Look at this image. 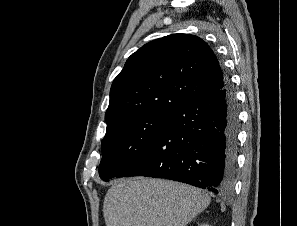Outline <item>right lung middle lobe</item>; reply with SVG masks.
I'll return each mask as SVG.
<instances>
[{"mask_svg": "<svg viewBox=\"0 0 297 226\" xmlns=\"http://www.w3.org/2000/svg\"><path fill=\"white\" fill-rule=\"evenodd\" d=\"M173 111H154L124 118L107 126L102 140L100 178L109 181L128 167L169 123Z\"/></svg>", "mask_w": 297, "mask_h": 226, "instance_id": "right-lung-middle-lobe-1", "label": "right lung middle lobe"}]
</instances>
